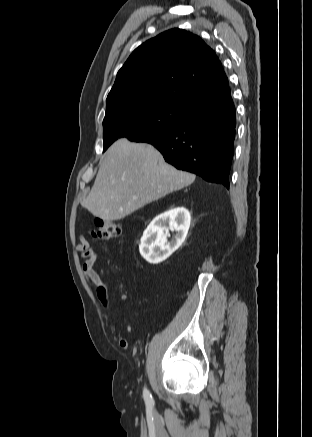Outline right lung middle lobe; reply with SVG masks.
Instances as JSON below:
<instances>
[{
  "mask_svg": "<svg viewBox=\"0 0 312 437\" xmlns=\"http://www.w3.org/2000/svg\"><path fill=\"white\" fill-rule=\"evenodd\" d=\"M190 110L162 102H141L121 106L103 120L104 151L118 138L144 142L176 129Z\"/></svg>",
  "mask_w": 312,
  "mask_h": 437,
  "instance_id": "right-lung-middle-lobe-1",
  "label": "right lung middle lobe"
}]
</instances>
